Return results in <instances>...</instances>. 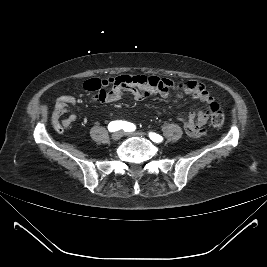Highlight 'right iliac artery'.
I'll return each mask as SVG.
<instances>
[{
    "mask_svg": "<svg viewBox=\"0 0 267 267\" xmlns=\"http://www.w3.org/2000/svg\"><path fill=\"white\" fill-rule=\"evenodd\" d=\"M108 129L109 131L113 132L120 129H123L125 131H134L136 128L134 124L126 121H112L109 123Z\"/></svg>",
    "mask_w": 267,
    "mask_h": 267,
    "instance_id": "right-iliac-artery-1",
    "label": "right iliac artery"
}]
</instances>
